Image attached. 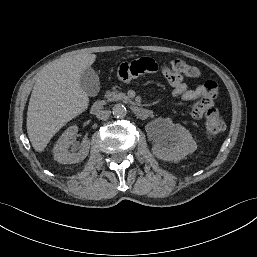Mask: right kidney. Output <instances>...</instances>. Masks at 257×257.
Masks as SVG:
<instances>
[{"label":"right kidney","instance_id":"right-kidney-1","mask_svg":"<svg viewBox=\"0 0 257 257\" xmlns=\"http://www.w3.org/2000/svg\"><path fill=\"white\" fill-rule=\"evenodd\" d=\"M78 127L70 126L62 134L54 147V159L62 164H75L86 158L90 149V142L85 140L81 143L79 151L69 150L71 140L76 136Z\"/></svg>","mask_w":257,"mask_h":257}]
</instances>
